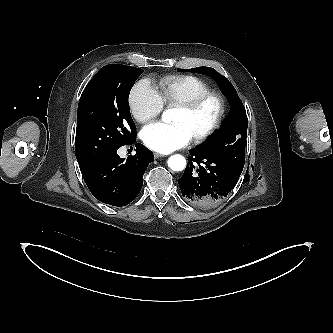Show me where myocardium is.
Segmentation results:
<instances>
[{
	"label": "myocardium",
	"instance_id": "obj_1",
	"mask_svg": "<svg viewBox=\"0 0 333 333\" xmlns=\"http://www.w3.org/2000/svg\"><path fill=\"white\" fill-rule=\"evenodd\" d=\"M210 100H215L218 103L219 112L214 123L206 131L193 137V141L196 144L205 142L221 128L227 113L226 100L222 94L210 91L177 106L178 109L187 113H194Z\"/></svg>",
	"mask_w": 333,
	"mask_h": 333
}]
</instances>
